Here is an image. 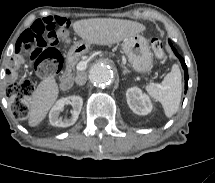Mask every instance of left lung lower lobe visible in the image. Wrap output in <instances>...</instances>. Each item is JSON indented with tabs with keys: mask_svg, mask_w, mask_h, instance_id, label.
Wrapping results in <instances>:
<instances>
[{
	"mask_svg": "<svg viewBox=\"0 0 215 183\" xmlns=\"http://www.w3.org/2000/svg\"><path fill=\"white\" fill-rule=\"evenodd\" d=\"M170 46L172 47V50L174 51L175 55L179 58L181 65L184 69V74H185V93L187 91L188 88V71H187V66L185 64L184 59L177 53V51L175 50V48L173 47L172 43L169 41Z\"/></svg>",
	"mask_w": 215,
	"mask_h": 183,
	"instance_id": "1",
	"label": "left lung lower lobe"
}]
</instances>
